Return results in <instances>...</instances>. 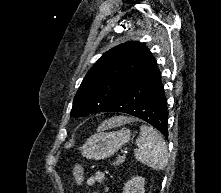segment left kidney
<instances>
[{
	"label": "left kidney",
	"mask_w": 221,
	"mask_h": 193,
	"mask_svg": "<svg viewBox=\"0 0 221 193\" xmlns=\"http://www.w3.org/2000/svg\"><path fill=\"white\" fill-rule=\"evenodd\" d=\"M144 182L145 179L140 176L133 177L125 184L123 193H145Z\"/></svg>",
	"instance_id": "5707ae66"
}]
</instances>
